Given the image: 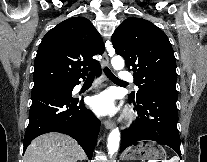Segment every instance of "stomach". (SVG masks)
<instances>
[{
	"label": "stomach",
	"instance_id": "obj_1",
	"mask_svg": "<svg viewBox=\"0 0 207 162\" xmlns=\"http://www.w3.org/2000/svg\"><path fill=\"white\" fill-rule=\"evenodd\" d=\"M124 157L126 160H157L165 157V151L154 142H140L136 146L128 149L124 153Z\"/></svg>",
	"mask_w": 207,
	"mask_h": 162
}]
</instances>
